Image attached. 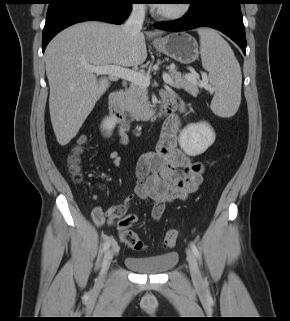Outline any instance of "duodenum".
I'll return each instance as SVG.
<instances>
[{"label": "duodenum", "instance_id": "1", "mask_svg": "<svg viewBox=\"0 0 290 321\" xmlns=\"http://www.w3.org/2000/svg\"><path fill=\"white\" fill-rule=\"evenodd\" d=\"M122 97V90L115 89L110 93L108 98L110 113L120 123H131L138 120L156 121L162 117L170 116L182 108V105L173 96L168 94L162 97V102L156 111L150 114L136 116L123 108Z\"/></svg>", "mask_w": 290, "mask_h": 321}]
</instances>
